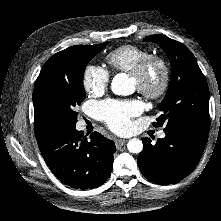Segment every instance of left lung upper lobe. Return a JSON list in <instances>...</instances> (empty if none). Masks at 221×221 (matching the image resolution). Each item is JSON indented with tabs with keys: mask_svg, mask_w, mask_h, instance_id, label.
<instances>
[{
	"mask_svg": "<svg viewBox=\"0 0 221 221\" xmlns=\"http://www.w3.org/2000/svg\"><path fill=\"white\" fill-rule=\"evenodd\" d=\"M171 63V79L165 98L158 105L161 115L154 126L164 130L189 127L209 132V89L194 55L182 43L164 35H152Z\"/></svg>",
	"mask_w": 221,
	"mask_h": 221,
	"instance_id": "obj_1",
	"label": "left lung upper lobe"
}]
</instances>
